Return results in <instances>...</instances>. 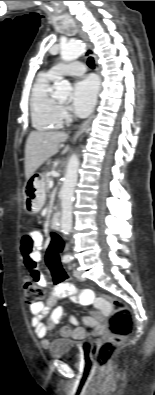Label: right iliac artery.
Segmentation results:
<instances>
[{
    "instance_id": "1",
    "label": "right iliac artery",
    "mask_w": 155,
    "mask_h": 395,
    "mask_svg": "<svg viewBox=\"0 0 155 395\" xmlns=\"http://www.w3.org/2000/svg\"><path fill=\"white\" fill-rule=\"evenodd\" d=\"M71 260H72V257L69 255H66L63 257V262H65V263H69Z\"/></svg>"
}]
</instances>
